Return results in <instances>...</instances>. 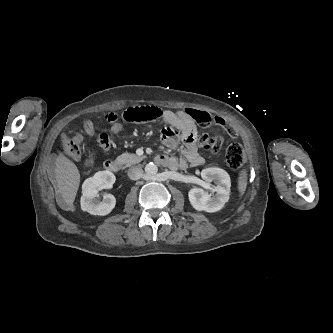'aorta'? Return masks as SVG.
Here are the masks:
<instances>
[{
    "label": "aorta",
    "instance_id": "obj_1",
    "mask_svg": "<svg viewBox=\"0 0 333 333\" xmlns=\"http://www.w3.org/2000/svg\"><path fill=\"white\" fill-rule=\"evenodd\" d=\"M145 172L149 176H154L158 173V167L154 163H148L145 166Z\"/></svg>",
    "mask_w": 333,
    "mask_h": 333
}]
</instances>
